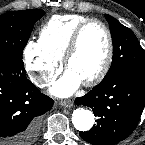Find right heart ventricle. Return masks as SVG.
<instances>
[{"label":"right heart ventricle","instance_id":"e07e8e85","mask_svg":"<svg viewBox=\"0 0 145 145\" xmlns=\"http://www.w3.org/2000/svg\"><path fill=\"white\" fill-rule=\"evenodd\" d=\"M87 19L78 14L55 15L41 27L38 42L46 52L62 60L75 29Z\"/></svg>","mask_w":145,"mask_h":145}]
</instances>
